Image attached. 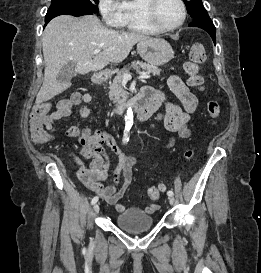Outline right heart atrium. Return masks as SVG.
Wrapping results in <instances>:
<instances>
[{"instance_id": "d8ad5b80", "label": "right heart atrium", "mask_w": 261, "mask_h": 273, "mask_svg": "<svg viewBox=\"0 0 261 273\" xmlns=\"http://www.w3.org/2000/svg\"><path fill=\"white\" fill-rule=\"evenodd\" d=\"M98 8L105 23L118 26L121 0H98Z\"/></svg>"}]
</instances>
